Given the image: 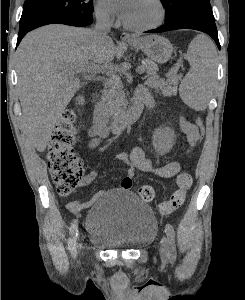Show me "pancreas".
<instances>
[{
  "label": "pancreas",
  "instance_id": "cf45deb5",
  "mask_svg": "<svg viewBox=\"0 0 245 300\" xmlns=\"http://www.w3.org/2000/svg\"><path fill=\"white\" fill-rule=\"evenodd\" d=\"M144 67L147 73L146 83L149 87L161 91L164 96H171L177 92V84L181 75H177L176 69L167 73V80H164L159 78L158 66L153 61L146 60ZM107 75L101 97L102 108L109 116H118L125 107L122 83L120 77L113 70H109Z\"/></svg>",
  "mask_w": 245,
  "mask_h": 300
}]
</instances>
